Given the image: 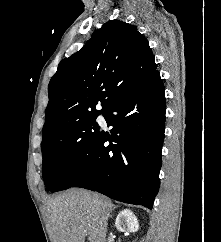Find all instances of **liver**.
<instances>
[{
    "instance_id": "6515ba94",
    "label": "liver",
    "mask_w": 221,
    "mask_h": 242,
    "mask_svg": "<svg viewBox=\"0 0 221 242\" xmlns=\"http://www.w3.org/2000/svg\"><path fill=\"white\" fill-rule=\"evenodd\" d=\"M114 205L106 197L70 189L50 199L47 212L52 242H105L107 220Z\"/></svg>"
}]
</instances>
